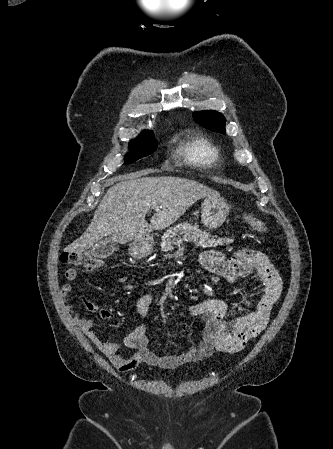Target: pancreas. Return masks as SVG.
<instances>
[{"label":"pancreas","mask_w":333,"mask_h":449,"mask_svg":"<svg viewBox=\"0 0 333 449\" xmlns=\"http://www.w3.org/2000/svg\"><path fill=\"white\" fill-rule=\"evenodd\" d=\"M183 241L193 242L197 246L207 247L233 243L232 238L215 239L209 233L199 230L197 224L193 225L188 222H183L164 234L161 243L162 251H171L174 249L173 245H180Z\"/></svg>","instance_id":"cf45deb5"}]
</instances>
